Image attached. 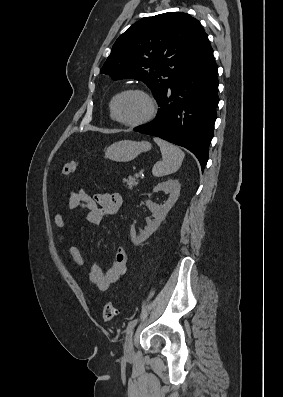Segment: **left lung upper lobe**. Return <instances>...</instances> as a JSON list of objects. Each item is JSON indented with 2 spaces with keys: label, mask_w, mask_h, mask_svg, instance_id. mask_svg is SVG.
Here are the masks:
<instances>
[{
  "label": "left lung upper lobe",
  "mask_w": 283,
  "mask_h": 397,
  "mask_svg": "<svg viewBox=\"0 0 283 397\" xmlns=\"http://www.w3.org/2000/svg\"><path fill=\"white\" fill-rule=\"evenodd\" d=\"M210 48L197 19L184 12L163 13L130 26L114 43L100 72L113 80H141L159 101L182 70Z\"/></svg>",
  "instance_id": "obj_1"
}]
</instances>
